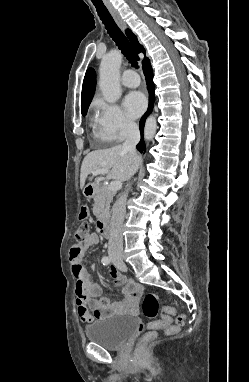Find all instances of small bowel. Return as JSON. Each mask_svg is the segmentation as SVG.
Segmentation results:
<instances>
[{"mask_svg":"<svg viewBox=\"0 0 249 382\" xmlns=\"http://www.w3.org/2000/svg\"><path fill=\"white\" fill-rule=\"evenodd\" d=\"M99 241L100 236L97 233H91L83 243L73 245L69 252L72 271L76 279L75 294L78 314L84 323L113 315L135 313L141 294V287L138 284L112 268L110 275L117 286L123 287L126 297L122 302H113L102 295L101 287L90 279L88 271L82 265L85 252Z\"/></svg>","mask_w":249,"mask_h":382,"instance_id":"1","label":"small bowel"}]
</instances>
